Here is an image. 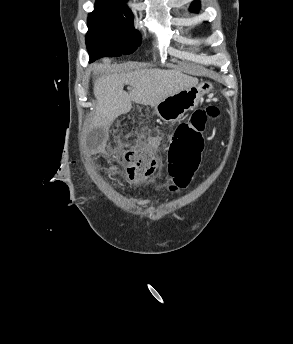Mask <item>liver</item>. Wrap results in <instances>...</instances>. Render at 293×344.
<instances>
[{
    "label": "liver",
    "mask_w": 293,
    "mask_h": 344,
    "mask_svg": "<svg viewBox=\"0 0 293 344\" xmlns=\"http://www.w3.org/2000/svg\"><path fill=\"white\" fill-rule=\"evenodd\" d=\"M132 91H124V85ZM198 85V79L178 70L143 69L99 78L94 84L97 105L94 126L107 129L114 120L129 112L131 102L155 107L162 100Z\"/></svg>",
    "instance_id": "obj_1"
}]
</instances>
